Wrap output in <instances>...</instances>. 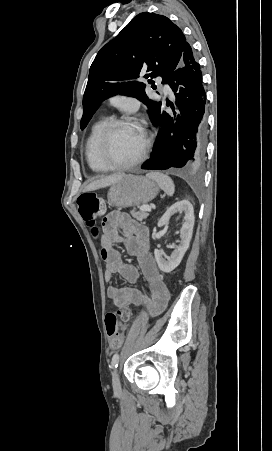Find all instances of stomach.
I'll list each match as a JSON object with an SVG mask.
<instances>
[{
  "label": "stomach",
  "instance_id": "1",
  "mask_svg": "<svg viewBox=\"0 0 272 451\" xmlns=\"http://www.w3.org/2000/svg\"><path fill=\"white\" fill-rule=\"evenodd\" d=\"M159 188L144 176H124L120 182L111 186L107 198L112 208H128L147 204L157 196Z\"/></svg>",
  "mask_w": 272,
  "mask_h": 451
}]
</instances>
